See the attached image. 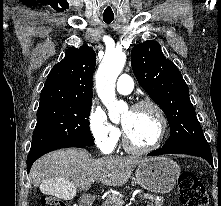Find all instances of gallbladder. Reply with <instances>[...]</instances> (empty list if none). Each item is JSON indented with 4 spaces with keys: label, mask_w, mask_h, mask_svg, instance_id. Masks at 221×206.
I'll use <instances>...</instances> for the list:
<instances>
[{
    "label": "gallbladder",
    "mask_w": 221,
    "mask_h": 206,
    "mask_svg": "<svg viewBox=\"0 0 221 206\" xmlns=\"http://www.w3.org/2000/svg\"><path fill=\"white\" fill-rule=\"evenodd\" d=\"M39 190L43 194H51L52 198H63L64 202H69L70 198H76V189L70 181H41Z\"/></svg>",
    "instance_id": "obj_1"
}]
</instances>
